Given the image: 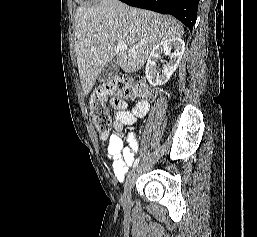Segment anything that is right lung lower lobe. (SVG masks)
<instances>
[{
    "label": "right lung lower lobe",
    "mask_w": 257,
    "mask_h": 237,
    "mask_svg": "<svg viewBox=\"0 0 257 237\" xmlns=\"http://www.w3.org/2000/svg\"><path fill=\"white\" fill-rule=\"evenodd\" d=\"M122 2L162 14H170L180 20L190 31L197 19L199 0H121Z\"/></svg>",
    "instance_id": "obj_1"
}]
</instances>
